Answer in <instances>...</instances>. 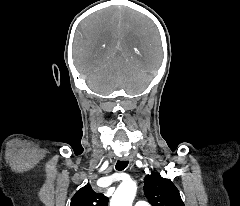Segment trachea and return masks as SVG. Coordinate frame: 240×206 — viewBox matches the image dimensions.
I'll return each mask as SVG.
<instances>
[{
    "label": "trachea",
    "mask_w": 240,
    "mask_h": 206,
    "mask_svg": "<svg viewBox=\"0 0 240 206\" xmlns=\"http://www.w3.org/2000/svg\"><path fill=\"white\" fill-rule=\"evenodd\" d=\"M128 165V161L126 162H123V161H117L116 163V169L121 171V170H124Z\"/></svg>",
    "instance_id": "obj_1"
}]
</instances>
